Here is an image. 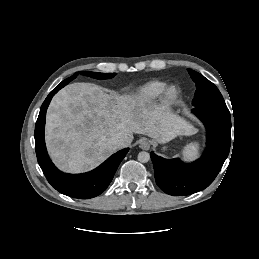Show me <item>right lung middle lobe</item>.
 <instances>
[{
  "mask_svg": "<svg viewBox=\"0 0 259 259\" xmlns=\"http://www.w3.org/2000/svg\"><path fill=\"white\" fill-rule=\"evenodd\" d=\"M81 75L90 76L95 79H110L116 75V73H98V72H90V71H81L79 72ZM78 73L76 72L73 76L65 79L60 84L63 86L67 85L70 81L74 80L77 77Z\"/></svg>",
  "mask_w": 259,
  "mask_h": 259,
  "instance_id": "right-lung-middle-lobe-1",
  "label": "right lung middle lobe"
}]
</instances>
